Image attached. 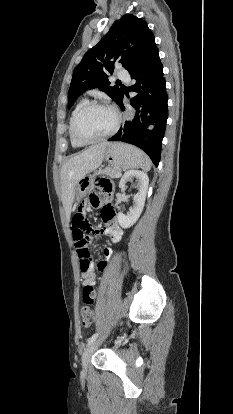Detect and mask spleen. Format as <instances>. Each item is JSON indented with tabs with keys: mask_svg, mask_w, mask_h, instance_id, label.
Segmentation results:
<instances>
[{
	"mask_svg": "<svg viewBox=\"0 0 233 414\" xmlns=\"http://www.w3.org/2000/svg\"><path fill=\"white\" fill-rule=\"evenodd\" d=\"M151 165H152V163H151V160L149 159V157H147L146 155L144 156V162L141 164V168L144 170V171H149L150 169H151Z\"/></svg>",
	"mask_w": 233,
	"mask_h": 414,
	"instance_id": "spleen-1",
	"label": "spleen"
}]
</instances>
